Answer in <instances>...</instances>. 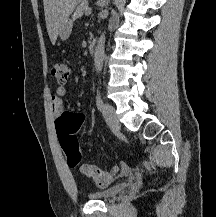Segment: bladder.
<instances>
[{"instance_id":"obj_1","label":"bladder","mask_w":216,"mask_h":217,"mask_svg":"<svg viewBox=\"0 0 216 217\" xmlns=\"http://www.w3.org/2000/svg\"><path fill=\"white\" fill-rule=\"evenodd\" d=\"M127 186V183L114 184L104 190L89 193L88 197L99 201H110L119 196L127 188Z\"/></svg>"}]
</instances>
